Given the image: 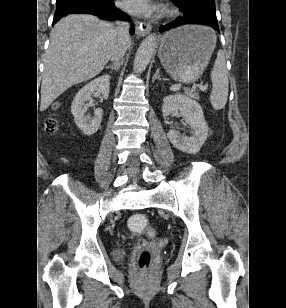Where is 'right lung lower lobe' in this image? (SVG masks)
Returning <instances> with one entry per match:
<instances>
[{"label": "right lung lower lobe", "instance_id": "98d812e1", "mask_svg": "<svg viewBox=\"0 0 286 308\" xmlns=\"http://www.w3.org/2000/svg\"><path fill=\"white\" fill-rule=\"evenodd\" d=\"M88 13L104 20H127V14L115 7L113 0H57L53 24L67 14ZM134 25L130 33H134Z\"/></svg>", "mask_w": 286, "mask_h": 308}]
</instances>
